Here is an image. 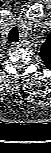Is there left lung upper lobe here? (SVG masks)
<instances>
[{
	"label": "left lung upper lobe",
	"mask_w": 51,
	"mask_h": 153,
	"mask_svg": "<svg viewBox=\"0 0 51 153\" xmlns=\"http://www.w3.org/2000/svg\"><path fill=\"white\" fill-rule=\"evenodd\" d=\"M39 56L43 66L51 70V32L47 36L45 42L42 44Z\"/></svg>",
	"instance_id": "5c2ea615"
}]
</instances>
